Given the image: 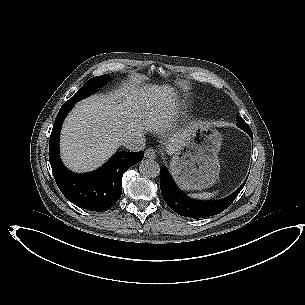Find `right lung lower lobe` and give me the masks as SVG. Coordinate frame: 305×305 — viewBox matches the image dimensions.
<instances>
[{
    "label": "right lung lower lobe",
    "mask_w": 305,
    "mask_h": 305,
    "mask_svg": "<svg viewBox=\"0 0 305 305\" xmlns=\"http://www.w3.org/2000/svg\"><path fill=\"white\" fill-rule=\"evenodd\" d=\"M74 103L65 102L54 122L49 145V160L56 183L72 203L91 211H107L121 197L122 176L133 165L142 161L143 152L115 153L95 171L75 174L61 162L59 135L62 123Z\"/></svg>",
    "instance_id": "98d812e1"
}]
</instances>
